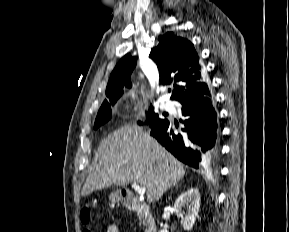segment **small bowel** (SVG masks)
<instances>
[{"mask_svg":"<svg viewBox=\"0 0 289 232\" xmlns=\"http://www.w3.org/2000/svg\"><path fill=\"white\" fill-rule=\"evenodd\" d=\"M107 232H118V228L115 225H110L107 228Z\"/></svg>","mask_w":289,"mask_h":232,"instance_id":"obj_1","label":"small bowel"}]
</instances>
